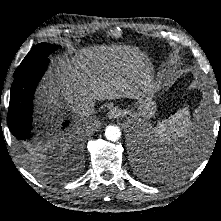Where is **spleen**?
Returning a JSON list of instances; mask_svg holds the SVG:
<instances>
[{
    "label": "spleen",
    "mask_w": 221,
    "mask_h": 221,
    "mask_svg": "<svg viewBox=\"0 0 221 221\" xmlns=\"http://www.w3.org/2000/svg\"><path fill=\"white\" fill-rule=\"evenodd\" d=\"M196 127L190 118L188 107L179 110L166 120L158 121L154 128V135L165 146V153L170 154L182 144L181 140H187Z\"/></svg>",
    "instance_id": "1"
}]
</instances>
